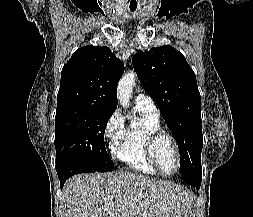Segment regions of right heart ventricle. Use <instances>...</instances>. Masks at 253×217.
Listing matches in <instances>:
<instances>
[{
  "label": "right heart ventricle",
  "mask_w": 253,
  "mask_h": 217,
  "mask_svg": "<svg viewBox=\"0 0 253 217\" xmlns=\"http://www.w3.org/2000/svg\"><path fill=\"white\" fill-rule=\"evenodd\" d=\"M136 109L140 116L139 124L125 129L114 147V155L135 172L150 176L158 175L146 156L144 143L150 132L160 129L159 117L145 110Z\"/></svg>",
  "instance_id": "e07e8e85"
}]
</instances>
